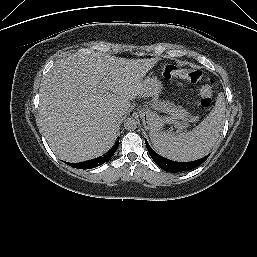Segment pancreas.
Returning <instances> with one entry per match:
<instances>
[{
    "mask_svg": "<svg viewBox=\"0 0 257 257\" xmlns=\"http://www.w3.org/2000/svg\"><path fill=\"white\" fill-rule=\"evenodd\" d=\"M153 103L156 110L163 111L170 115V117L168 118V121L170 123H174L176 120L179 119L187 120L188 118H190L188 112L181 106H175L174 104L164 101L161 102L157 99H155Z\"/></svg>",
    "mask_w": 257,
    "mask_h": 257,
    "instance_id": "obj_1",
    "label": "pancreas"
}]
</instances>
